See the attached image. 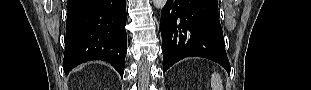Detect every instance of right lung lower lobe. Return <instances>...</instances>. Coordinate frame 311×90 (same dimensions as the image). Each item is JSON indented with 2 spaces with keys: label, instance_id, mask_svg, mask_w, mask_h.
Masks as SVG:
<instances>
[{
  "label": "right lung lower lobe",
  "instance_id": "98d812e1",
  "mask_svg": "<svg viewBox=\"0 0 311 90\" xmlns=\"http://www.w3.org/2000/svg\"><path fill=\"white\" fill-rule=\"evenodd\" d=\"M126 0H68L63 69L109 62L123 77L127 53Z\"/></svg>",
  "mask_w": 311,
  "mask_h": 90
}]
</instances>
